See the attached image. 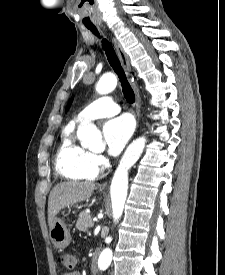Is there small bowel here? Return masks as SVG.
Masks as SVG:
<instances>
[{"label":"small bowel","instance_id":"1","mask_svg":"<svg viewBox=\"0 0 225 275\" xmlns=\"http://www.w3.org/2000/svg\"><path fill=\"white\" fill-rule=\"evenodd\" d=\"M62 275H81L78 271L65 272Z\"/></svg>","mask_w":225,"mask_h":275}]
</instances>
